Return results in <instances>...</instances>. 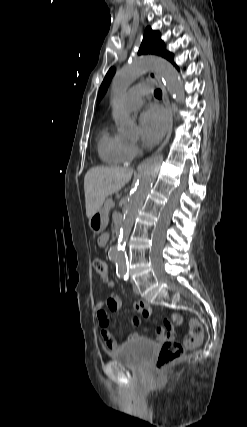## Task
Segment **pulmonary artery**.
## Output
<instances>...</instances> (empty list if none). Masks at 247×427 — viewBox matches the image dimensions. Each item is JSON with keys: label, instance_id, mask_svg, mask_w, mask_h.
Segmentation results:
<instances>
[{"label": "pulmonary artery", "instance_id": "1", "mask_svg": "<svg viewBox=\"0 0 247 427\" xmlns=\"http://www.w3.org/2000/svg\"><path fill=\"white\" fill-rule=\"evenodd\" d=\"M150 92V87L139 84L132 87L122 98V105L125 110L132 111L139 108L143 103L144 95Z\"/></svg>", "mask_w": 247, "mask_h": 427}]
</instances>
